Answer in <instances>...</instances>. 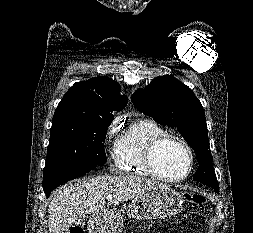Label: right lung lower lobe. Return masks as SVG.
Returning a JSON list of instances; mask_svg holds the SVG:
<instances>
[{"instance_id": "98d812e1", "label": "right lung lower lobe", "mask_w": 253, "mask_h": 233, "mask_svg": "<svg viewBox=\"0 0 253 233\" xmlns=\"http://www.w3.org/2000/svg\"><path fill=\"white\" fill-rule=\"evenodd\" d=\"M95 167L92 166H66L53 169L45 174L43 177V189L47 198L50 196L52 190L59 185L78 178Z\"/></svg>"}]
</instances>
